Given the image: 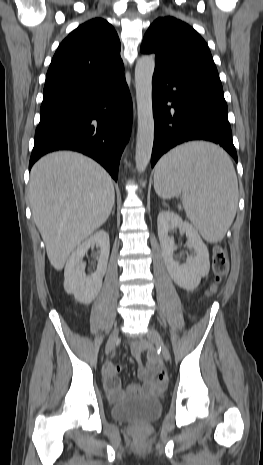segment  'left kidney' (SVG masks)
I'll return each instance as SVG.
<instances>
[{
	"label": "left kidney",
	"mask_w": 263,
	"mask_h": 465,
	"mask_svg": "<svg viewBox=\"0 0 263 465\" xmlns=\"http://www.w3.org/2000/svg\"><path fill=\"white\" fill-rule=\"evenodd\" d=\"M157 227L162 256L171 278L181 288L189 291L196 289L210 269L209 252L197 230L179 215L169 211L159 213ZM175 228L186 234L187 247L194 250V255L188 256L184 264L173 257L176 245L169 231Z\"/></svg>",
	"instance_id": "obj_1"
}]
</instances>
